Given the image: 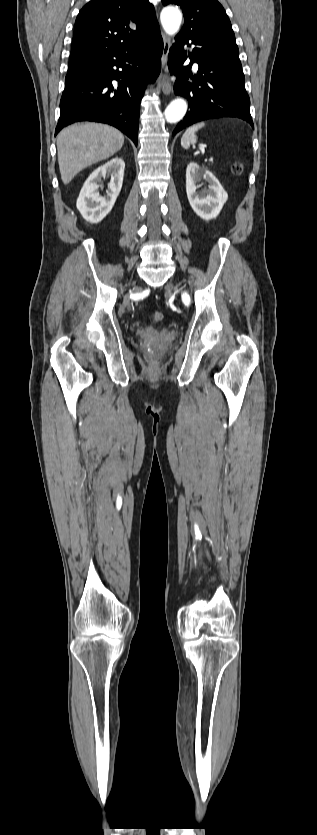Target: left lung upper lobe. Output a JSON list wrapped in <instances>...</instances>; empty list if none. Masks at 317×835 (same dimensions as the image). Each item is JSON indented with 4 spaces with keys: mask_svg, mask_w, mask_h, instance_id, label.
I'll return each instance as SVG.
<instances>
[{
    "mask_svg": "<svg viewBox=\"0 0 317 835\" xmlns=\"http://www.w3.org/2000/svg\"><path fill=\"white\" fill-rule=\"evenodd\" d=\"M162 3L164 6L176 4L182 8L184 26L176 38L191 40L210 36L236 45L231 22L217 0H162Z\"/></svg>",
    "mask_w": 317,
    "mask_h": 835,
    "instance_id": "5c2ea615",
    "label": "left lung upper lobe"
}]
</instances>
